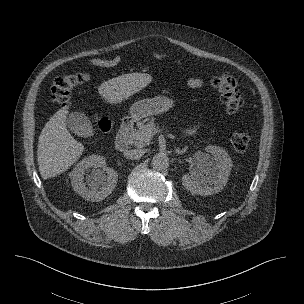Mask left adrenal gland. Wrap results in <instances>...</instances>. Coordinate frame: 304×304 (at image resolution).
Instances as JSON below:
<instances>
[{
    "instance_id": "left-adrenal-gland-1",
    "label": "left adrenal gland",
    "mask_w": 304,
    "mask_h": 304,
    "mask_svg": "<svg viewBox=\"0 0 304 304\" xmlns=\"http://www.w3.org/2000/svg\"><path fill=\"white\" fill-rule=\"evenodd\" d=\"M187 149H188V147H185V148L182 149V150H180L179 148H177V149L175 150V152H176L177 154H183V153H185V152L187 151Z\"/></svg>"
}]
</instances>
